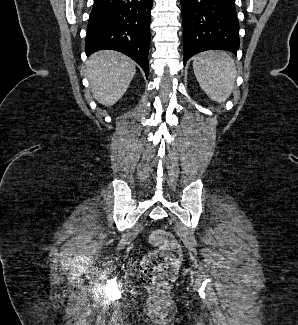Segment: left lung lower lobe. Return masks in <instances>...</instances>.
<instances>
[{"mask_svg":"<svg viewBox=\"0 0 298 325\" xmlns=\"http://www.w3.org/2000/svg\"><path fill=\"white\" fill-rule=\"evenodd\" d=\"M184 64L205 50L239 48V24L234 0H181Z\"/></svg>","mask_w":298,"mask_h":325,"instance_id":"1","label":"left lung lower lobe"}]
</instances>
